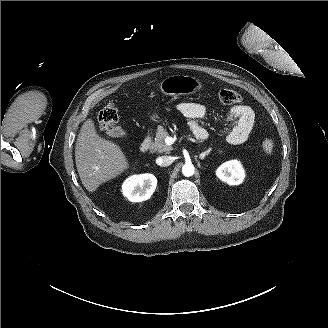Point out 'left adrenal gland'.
Returning a JSON list of instances; mask_svg holds the SVG:
<instances>
[{"label":"left adrenal gland","mask_w":328,"mask_h":328,"mask_svg":"<svg viewBox=\"0 0 328 328\" xmlns=\"http://www.w3.org/2000/svg\"><path fill=\"white\" fill-rule=\"evenodd\" d=\"M210 153V151L204 152L201 156H199V159L203 160L205 156H207Z\"/></svg>","instance_id":"1"}]
</instances>
